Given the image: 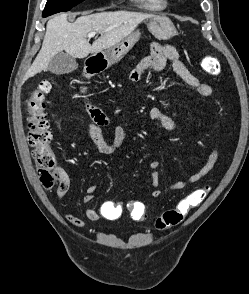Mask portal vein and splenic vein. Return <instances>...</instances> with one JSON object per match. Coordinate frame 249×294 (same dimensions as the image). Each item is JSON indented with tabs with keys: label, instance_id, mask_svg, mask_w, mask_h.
<instances>
[{
	"label": "portal vein and splenic vein",
	"instance_id": "portal-vein-and-splenic-vein-1",
	"mask_svg": "<svg viewBox=\"0 0 249 294\" xmlns=\"http://www.w3.org/2000/svg\"><path fill=\"white\" fill-rule=\"evenodd\" d=\"M95 34H96V32H91V33H89V36H90V37H94Z\"/></svg>",
	"mask_w": 249,
	"mask_h": 294
}]
</instances>
